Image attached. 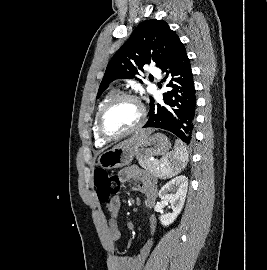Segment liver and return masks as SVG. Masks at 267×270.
<instances>
[{
  "label": "liver",
  "mask_w": 267,
  "mask_h": 270,
  "mask_svg": "<svg viewBox=\"0 0 267 270\" xmlns=\"http://www.w3.org/2000/svg\"><path fill=\"white\" fill-rule=\"evenodd\" d=\"M152 132H153L152 129H143V130H140V131L136 132L131 138H128V139L120 142L116 146H130V145H134V144L140 142L141 140H143L144 138H146L147 136H149Z\"/></svg>",
  "instance_id": "6515ba94"
}]
</instances>
